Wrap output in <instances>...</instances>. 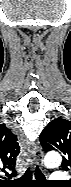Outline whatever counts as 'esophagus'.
<instances>
[{
	"instance_id": "34e87169",
	"label": "esophagus",
	"mask_w": 71,
	"mask_h": 187,
	"mask_svg": "<svg viewBox=\"0 0 71 187\" xmlns=\"http://www.w3.org/2000/svg\"><path fill=\"white\" fill-rule=\"evenodd\" d=\"M43 150L38 142L34 143L31 150V163L34 165H42Z\"/></svg>"
}]
</instances>
